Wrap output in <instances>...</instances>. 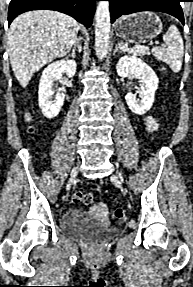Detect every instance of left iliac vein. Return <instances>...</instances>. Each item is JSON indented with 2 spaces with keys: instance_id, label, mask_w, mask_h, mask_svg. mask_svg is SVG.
I'll use <instances>...</instances> for the list:
<instances>
[{
  "instance_id": "1",
  "label": "left iliac vein",
  "mask_w": 193,
  "mask_h": 287,
  "mask_svg": "<svg viewBox=\"0 0 193 287\" xmlns=\"http://www.w3.org/2000/svg\"><path fill=\"white\" fill-rule=\"evenodd\" d=\"M113 177H116V176L114 175ZM119 178H120V181L123 183L124 180H123V178L120 175H119Z\"/></svg>"
}]
</instances>
